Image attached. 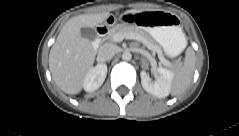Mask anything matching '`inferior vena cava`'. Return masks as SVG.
<instances>
[{"instance_id":"inferior-vena-cava-1","label":"inferior vena cava","mask_w":239,"mask_h":136,"mask_svg":"<svg viewBox=\"0 0 239 136\" xmlns=\"http://www.w3.org/2000/svg\"><path fill=\"white\" fill-rule=\"evenodd\" d=\"M117 52H118L117 46H115L113 44L106 43V44L100 46V48L98 50V60L100 62L109 61L115 56V54Z\"/></svg>"}]
</instances>
